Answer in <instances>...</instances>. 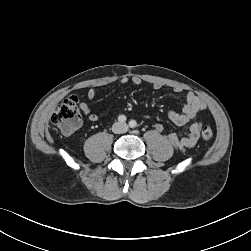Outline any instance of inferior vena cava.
<instances>
[{
  "label": "inferior vena cava",
  "mask_w": 251,
  "mask_h": 251,
  "mask_svg": "<svg viewBox=\"0 0 251 251\" xmlns=\"http://www.w3.org/2000/svg\"><path fill=\"white\" fill-rule=\"evenodd\" d=\"M120 126H122V130L117 131L118 133H124L128 130V126L126 124H119Z\"/></svg>",
  "instance_id": "602c4592"
}]
</instances>
